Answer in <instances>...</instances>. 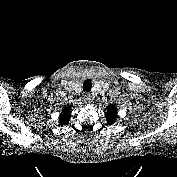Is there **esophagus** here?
Returning <instances> with one entry per match:
<instances>
[{
    "instance_id": "34e87169",
    "label": "esophagus",
    "mask_w": 177,
    "mask_h": 177,
    "mask_svg": "<svg viewBox=\"0 0 177 177\" xmlns=\"http://www.w3.org/2000/svg\"><path fill=\"white\" fill-rule=\"evenodd\" d=\"M84 101L87 102V103H91L93 101V98H92L91 94L86 93L84 95Z\"/></svg>"
}]
</instances>
